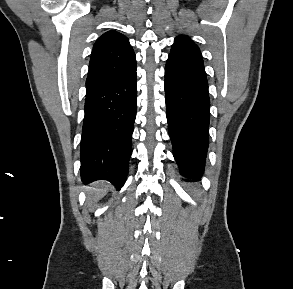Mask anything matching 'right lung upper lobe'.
<instances>
[{
	"mask_svg": "<svg viewBox=\"0 0 293 289\" xmlns=\"http://www.w3.org/2000/svg\"><path fill=\"white\" fill-rule=\"evenodd\" d=\"M135 74V53L128 38L119 32L108 31L93 46L86 95L125 82Z\"/></svg>",
	"mask_w": 293,
	"mask_h": 289,
	"instance_id": "cb5924a9",
	"label": "right lung upper lobe"
}]
</instances>
